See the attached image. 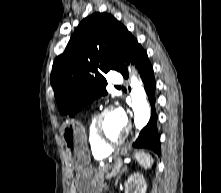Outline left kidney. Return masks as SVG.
<instances>
[{
	"mask_svg": "<svg viewBox=\"0 0 221 193\" xmlns=\"http://www.w3.org/2000/svg\"><path fill=\"white\" fill-rule=\"evenodd\" d=\"M147 184L142 174L134 173L125 182V193H146Z\"/></svg>",
	"mask_w": 221,
	"mask_h": 193,
	"instance_id": "5707ae66",
	"label": "left kidney"
}]
</instances>
